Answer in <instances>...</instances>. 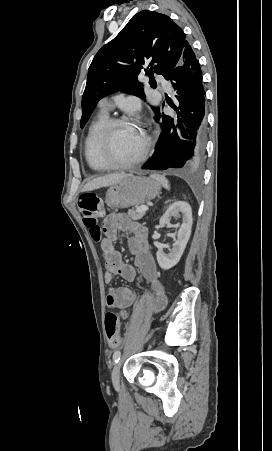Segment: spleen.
I'll return each mask as SVG.
<instances>
[{
    "label": "spleen",
    "instance_id": "3e777b00",
    "mask_svg": "<svg viewBox=\"0 0 272 451\" xmlns=\"http://www.w3.org/2000/svg\"><path fill=\"white\" fill-rule=\"evenodd\" d=\"M150 178H153V180H157L163 188H166V190H170L169 182L167 178H164V176H159V174H151Z\"/></svg>",
    "mask_w": 272,
    "mask_h": 451
}]
</instances>
